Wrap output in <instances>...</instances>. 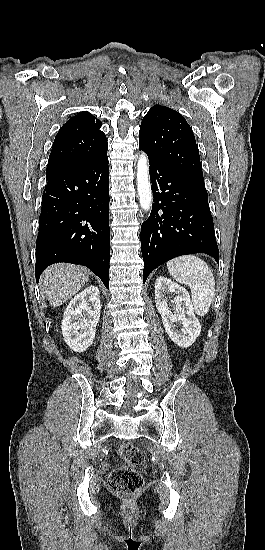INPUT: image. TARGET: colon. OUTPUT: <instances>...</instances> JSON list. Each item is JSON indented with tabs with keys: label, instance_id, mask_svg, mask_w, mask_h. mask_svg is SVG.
<instances>
[{
	"label": "colon",
	"instance_id": "colon-1",
	"mask_svg": "<svg viewBox=\"0 0 265 550\" xmlns=\"http://www.w3.org/2000/svg\"><path fill=\"white\" fill-rule=\"evenodd\" d=\"M124 465L111 471L108 478L110 489L121 495L138 492L143 486V477L137 470L145 463V457L139 447L132 443L123 444L119 449Z\"/></svg>",
	"mask_w": 265,
	"mask_h": 550
}]
</instances>
